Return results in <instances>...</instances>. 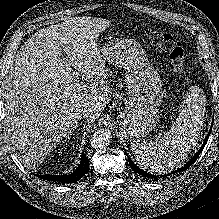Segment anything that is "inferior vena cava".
<instances>
[{
  "label": "inferior vena cava",
  "mask_w": 219,
  "mask_h": 219,
  "mask_svg": "<svg viewBox=\"0 0 219 219\" xmlns=\"http://www.w3.org/2000/svg\"><path fill=\"white\" fill-rule=\"evenodd\" d=\"M75 114L77 119L88 118L91 116L90 110L85 107L78 108Z\"/></svg>",
  "instance_id": "inferior-vena-cava-1"
}]
</instances>
